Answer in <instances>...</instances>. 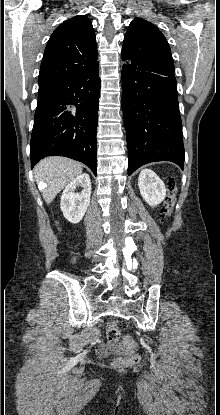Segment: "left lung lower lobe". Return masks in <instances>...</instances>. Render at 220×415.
<instances>
[{
  "label": "left lung lower lobe",
  "instance_id": "1",
  "mask_svg": "<svg viewBox=\"0 0 220 415\" xmlns=\"http://www.w3.org/2000/svg\"><path fill=\"white\" fill-rule=\"evenodd\" d=\"M122 102L128 174L156 161H171L183 169L185 152L174 73L126 61Z\"/></svg>",
  "mask_w": 220,
  "mask_h": 415
}]
</instances>
